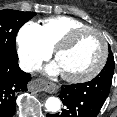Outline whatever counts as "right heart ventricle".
<instances>
[{
	"label": "right heart ventricle",
	"instance_id": "obj_1",
	"mask_svg": "<svg viewBox=\"0 0 117 117\" xmlns=\"http://www.w3.org/2000/svg\"><path fill=\"white\" fill-rule=\"evenodd\" d=\"M83 27L89 26L84 22L69 16L50 17L43 20L40 25L42 38L50 49H53L58 41L67 33Z\"/></svg>",
	"mask_w": 117,
	"mask_h": 117
}]
</instances>
